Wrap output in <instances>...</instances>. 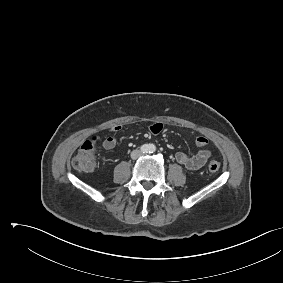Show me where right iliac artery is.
Returning a JSON list of instances; mask_svg holds the SVG:
<instances>
[{
  "label": "right iliac artery",
  "mask_w": 283,
  "mask_h": 283,
  "mask_svg": "<svg viewBox=\"0 0 283 283\" xmlns=\"http://www.w3.org/2000/svg\"><path fill=\"white\" fill-rule=\"evenodd\" d=\"M141 151L147 153L149 151V146L147 144L141 146Z\"/></svg>",
  "instance_id": "82829eb1"
}]
</instances>
